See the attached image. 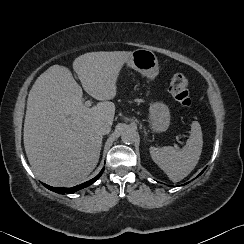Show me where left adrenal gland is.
<instances>
[{"label":"left adrenal gland","mask_w":244,"mask_h":244,"mask_svg":"<svg viewBox=\"0 0 244 244\" xmlns=\"http://www.w3.org/2000/svg\"><path fill=\"white\" fill-rule=\"evenodd\" d=\"M144 134H145V136L147 135L146 129H144Z\"/></svg>","instance_id":"obj_1"}]
</instances>
